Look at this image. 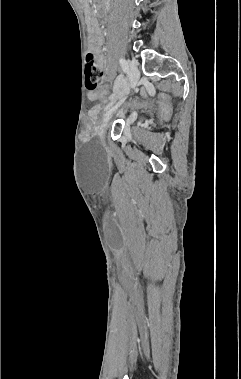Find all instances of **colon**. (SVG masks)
<instances>
[{"label":"colon","mask_w":241,"mask_h":379,"mask_svg":"<svg viewBox=\"0 0 241 379\" xmlns=\"http://www.w3.org/2000/svg\"><path fill=\"white\" fill-rule=\"evenodd\" d=\"M85 76H86V79H85L86 86L98 85L100 73L98 71L95 58L92 54L87 55ZM112 92H113V89L111 87H101L99 90V95L101 96L102 99H107L108 94H111ZM161 106L165 111L175 109L174 103H167L166 105L162 104Z\"/></svg>","instance_id":"obj_1"}]
</instances>
